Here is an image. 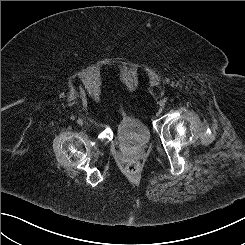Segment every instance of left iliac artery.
<instances>
[{
	"label": "left iliac artery",
	"mask_w": 245,
	"mask_h": 245,
	"mask_svg": "<svg viewBox=\"0 0 245 245\" xmlns=\"http://www.w3.org/2000/svg\"><path fill=\"white\" fill-rule=\"evenodd\" d=\"M167 100H168L167 98H164V99H163L164 102H167Z\"/></svg>",
	"instance_id": "44dca946"
}]
</instances>
